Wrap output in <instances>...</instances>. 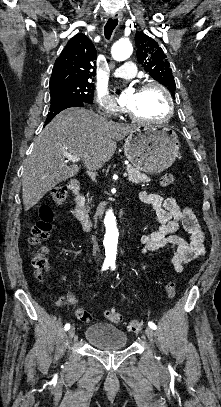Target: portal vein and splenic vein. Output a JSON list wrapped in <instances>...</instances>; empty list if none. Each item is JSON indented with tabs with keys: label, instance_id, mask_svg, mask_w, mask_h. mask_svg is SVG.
I'll use <instances>...</instances> for the list:
<instances>
[{
	"label": "portal vein and splenic vein",
	"instance_id": "obj_1",
	"mask_svg": "<svg viewBox=\"0 0 221 407\" xmlns=\"http://www.w3.org/2000/svg\"><path fill=\"white\" fill-rule=\"evenodd\" d=\"M64 156L68 159V161H72V162H79V161L81 160L80 157L75 156V155H71V154H69V153H64ZM123 176H124V177H127L128 174L125 172V173L123 174Z\"/></svg>",
	"mask_w": 221,
	"mask_h": 407
}]
</instances>
